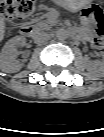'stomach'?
<instances>
[{"mask_svg": "<svg viewBox=\"0 0 104 137\" xmlns=\"http://www.w3.org/2000/svg\"><path fill=\"white\" fill-rule=\"evenodd\" d=\"M61 2L64 6L69 8L79 7L81 5L80 0H57Z\"/></svg>", "mask_w": 104, "mask_h": 137, "instance_id": "1", "label": "stomach"}]
</instances>
